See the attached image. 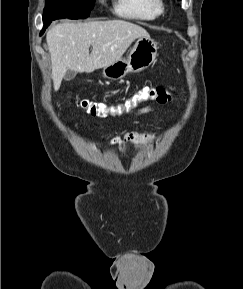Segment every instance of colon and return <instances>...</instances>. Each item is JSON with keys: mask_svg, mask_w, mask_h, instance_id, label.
I'll return each instance as SVG.
<instances>
[{"mask_svg": "<svg viewBox=\"0 0 243 289\" xmlns=\"http://www.w3.org/2000/svg\"><path fill=\"white\" fill-rule=\"evenodd\" d=\"M173 97L172 89L164 86L143 87L135 92L130 98L123 103L110 105L103 102H96L89 99L77 101L80 107L87 114L97 118H107L109 116L118 117L129 113L143 102L156 101L164 104L171 101Z\"/></svg>", "mask_w": 243, "mask_h": 289, "instance_id": "1", "label": "colon"}]
</instances>
